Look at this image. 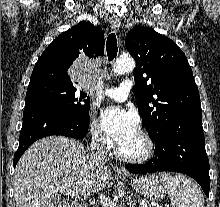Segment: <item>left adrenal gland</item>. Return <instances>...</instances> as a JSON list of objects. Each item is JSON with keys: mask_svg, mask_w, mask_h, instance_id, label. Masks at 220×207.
Masks as SVG:
<instances>
[{"mask_svg": "<svg viewBox=\"0 0 220 207\" xmlns=\"http://www.w3.org/2000/svg\"><path fill=\"white\" fill-rule=\"evenodd\" d=\"M132 196H133V194H131V196L129 197V200H128V205L130 206V207H135V205H136V200L134 199V198H132Z\"/></svg>", "mask_w": 220, "mask_h": 207, "instance_id": "obj_1", "label": "left adrenal gland"}]
</instances>
